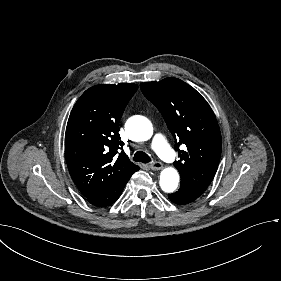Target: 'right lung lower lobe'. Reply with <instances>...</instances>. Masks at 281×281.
I'll use <instances>...</instances> for the list:
<instances>
[{"label": "right lung lower lobe", "mask_w": 281, "mask_h": 281, "mask_svg": "<svg viewBox=\"0 0 281 281\" xmlns=\"http://www.w3.org/2000/svg\"><path fill=\"white\" fill-rule=\"evenodd\" d=\"M132 175L120 180L116 184H114L112 187L108 188L107 190L91 197L87 198L88 201L97 207H106L114 203L119 196L121 195L126 183L130 179Z\"/></svg>", "instance_id": "1"}]
</instances>
